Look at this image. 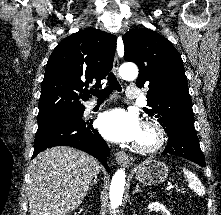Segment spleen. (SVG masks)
Wrapping results in <instances>:
<instances>
[{"mask_svg":"<svg viewBox=\"0 0 221 215\" xmlns=\"http://www.w3.org/2000/svg\"><path fill=\"white\" fill-rule=\"evenodd\" d=\"M183 173L188 179L189 186L195 190L199 196H203L205 194V188L195 174L185 168H183Z\"/></svg>","mask_w":221,"mask_h":215,"instance_id":"spleen-1","label":"spleen"}]
</instances>
